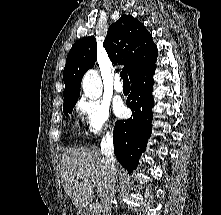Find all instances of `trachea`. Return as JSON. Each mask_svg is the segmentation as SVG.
<instances>
[{
    "label": "trachea",
    "instance_id": "1",
    "mask_svg": "<svg viewBox=\"0 0 221 215\" xmlns=\"http://www.w3.org/2000/svg\"><path fill=\"white\" fill-rule=\"evenodd\" d=\"M120 77L123 80V83H129L128 75L126 71L120 73Z\"/></svg>",
    "mask_w": 221,
    "mask_h": 215
}]
</instances>
